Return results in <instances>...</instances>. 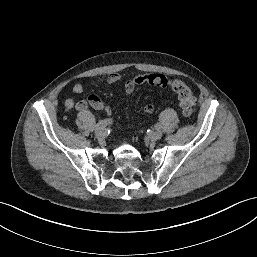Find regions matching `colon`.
I'll use <instances>...</instances> for the list:
<instances>
[{"mask_svg":"<svg viewBox=\"0 0 257 257\" xmlns=\"http://www.w3.org/2000/svg\"><path fill=\"white\" fill-rule=\"evenodd\" d=\"M169 85L178 96L183 115L187 118L191 117L195 112L196 106V99L191 89L180 80H172Z\"/></svg>","mask_w":257,"mask_h":257,"instance_id":"1","label":"colon"}]
</instances>
